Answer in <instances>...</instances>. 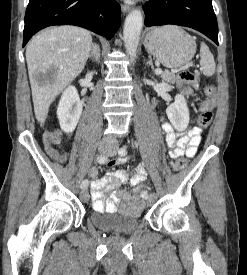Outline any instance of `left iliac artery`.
Returning a JSON list of instances; mask_svg holds the SVG:
<instances>
[{
	"mask_svg": "<svg viewBox=\"0 0 247 275\" xmlns=\"http://www.w3.org/2000/svg\"><path fill=\"white\" fill-rule=\"evenodd\" d=\"M120 156H125L127 154V146L124 145L122 148L118 150ZM148 192H142V198H147Z\"/></svg>",
	"mask_w": 247,
	"mask_h": 275,
	"instance_id": "obj_1",
	"label": "left iliac artery"
}]
</instances>
